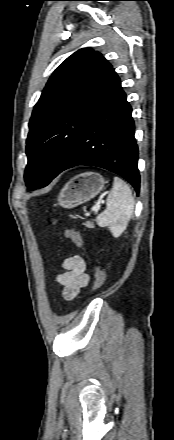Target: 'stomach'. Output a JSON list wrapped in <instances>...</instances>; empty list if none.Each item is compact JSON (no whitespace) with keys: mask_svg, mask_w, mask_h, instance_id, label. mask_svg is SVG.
<instances>
[{"mask_svg":"<svg viewBox=\"0 0 174 440\" xmlns=\"http://www.w3.org/2000/svg\"><path fill=\"white\" fill-rule=\"evenodd\" d=\"M106 181L96 172H84L68 181L58 196V204L71 209L93 199L103 189Z\"/></svg>","mask_w":174,"mask_h":440,"instance_id":"1","label":"stomach"}]
</instances>
